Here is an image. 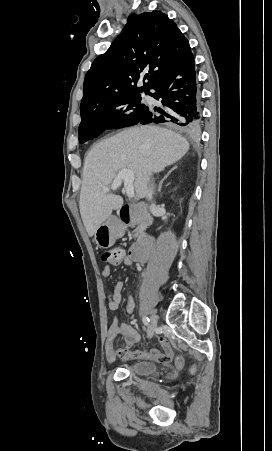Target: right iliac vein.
I'll return each mask as SVG.
<instances>
[{
	"label": "right iliac vein",
	"instance_id": "1",
	"mask_svg": "<svg viewBox=\"0 0 272 451\" xmlns=\"http://www.w3.org/2000/svg\"><path fill=\"white\" fill-rule=\"evenodd\" d=\"M157 321H158L157 315L155 313H152L151 314V322H150V325L148 328V337L149 338H151L155 333V330L157 327Z\"/></svg>",
	"mask_w": 272,
	"mask_h": 451
}]
</instances>
